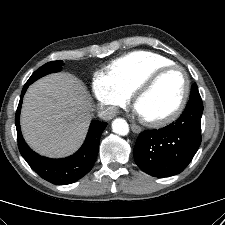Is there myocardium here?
<instances>
[{
    "label": "myocardium",
    "instance_id": "obj_1",
    "mask_svg": "<svg viewBox=\"0 0 225 225\" xmlns=\"http://www.w3.org/2000/svg\"><path fill=\"white\" fill-rule=\"evenodd\" d=\"M171 70H179L182 72L184 76V89L183 93L181 96V99L177 106L167 115L156 118V119H148V118H143L140 117V120L143 124L149 127H162L165 126L174 120H176L184 111L186 104L189 99L190 95V79L187 71L180 65L178 64H170L167 66H164L162 68H159L158 70L152 72L150 75H148L140 84L139 86L135 89V91L132 94V101H133V106L135 107L138 100L146 94L157 82V80L166 74L167 72Z\"/></svg>",
    "mask_w": 225,
    "mask_h": 225
}]
</instances>
